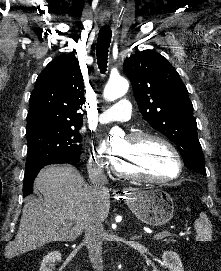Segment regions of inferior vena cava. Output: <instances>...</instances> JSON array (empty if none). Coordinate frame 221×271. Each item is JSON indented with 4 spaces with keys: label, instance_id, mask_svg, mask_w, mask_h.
<instances>
[{
    "label": "inferior vena cava",
    "instance_id": "obj_1",
    "mask_svg": "<svg viewBox=\"0 0 221 271\" xmlns=\"http://www.w3.org/2000/svg\"><path fill=\"white\" fill-rule=\"evenodd\" d=\"M99 171L97 179H95L92 187V191L95 197L98 199H105L109 197V189L106 187L108 179L104 175L103 167L97 165ZM104 219L98 215V213H92L86 227H85V245L89 253V259L92 267L95 271H103V259H102V243L104 241Z\"/></svg>",
    "mask_w": 221,
    "mask_h": 271
}]
</instances>
